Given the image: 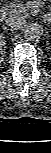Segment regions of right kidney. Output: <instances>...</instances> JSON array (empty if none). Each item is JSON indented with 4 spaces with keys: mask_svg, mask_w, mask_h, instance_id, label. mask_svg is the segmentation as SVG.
<instances>
[{
    "mask_svg": "<svg viewBox=\"0 0 51 153\" xmlns=\"http://www.w3.org/2000/svg\"><path fill=\"white\" fill-rule=\"evenodd\" d=\"M0 48H1V54H3V53H4V50H5V46H4V43H1V46H0Z\"/></svg>",
    "mask_w": 51,
    "mask_h": 153,
    "instance_id": "right-kidney-1",
    "label": "right kidney"
}]
</instances>
